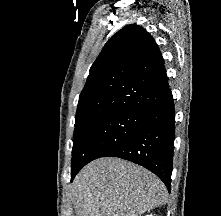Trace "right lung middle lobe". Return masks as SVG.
Instances as JSON below:
<instances>
[{
    "label": "right lung middle lobe",
    "mask_w": 221,
    "mask_h": 216,
    "mask_svg": "<svg viewBox=\"0 0 221 216\" xmlns=\"http://www.w3.org/2000/svg\"><path fill=\"white\" fill-rule=\"evenodd\" d=\"M145 112H110L75 125L71 168L105 156L129 139L142 125Z\"/></svg>",
    "instance_id": "dd1d6c3e"
}]
</instances>
